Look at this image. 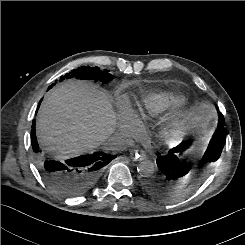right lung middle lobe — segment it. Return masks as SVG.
Listing matches in <instances>:
<instances>
[{
	"label": "right lung middle lobe",
	"instance_id": "1",
	"mask_svg": "<svg viewBox=\"0 0 245 245\" xmlns=\"http://www.w3.org/2000/svg\"><path fill=\"white\" fill-rule=\"evenodd\" d=\"M65 78H77L100 81L102 83H108L112 80V75L107 71H102L98 67H86L82 66L77 69L72 70L69 74L62 76L61 79ZM51 85L49 89L52 87Z\"/></svg>",
	"mask_w": 245,
	"mask_h": 245
}]
</instances>
